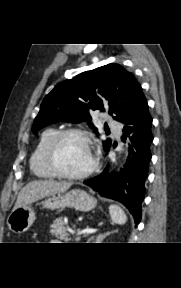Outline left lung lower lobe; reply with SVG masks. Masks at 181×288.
<instances>
[{
	"label": "left lung lower lobe",
	"mask_w": 181,
	"mask_h": 288,
	"mask_svg": "<svg viewBox=\"0 0 181 288\" xmlns=\"http://www.w3.org/2000/svg\"><path fill=\"white\" fill-rule=\"evenodd\" d=\"M121 122L125 125L122 138L129 136L133 144L125 168L118 174H108L107 166L101 175L84 183L98 191L101 196L123 203L133 215L135 224H139L142 215L141 203L145 195V180L151 159L150 145L153 141L152 117L142 88L138 90L127 115Z\"/></svg>",
	"instance_id": "1"
}]
</instances>
